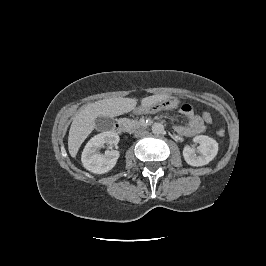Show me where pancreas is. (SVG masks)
Here are the masks:
<instances>
[{"label": "pancreas", "mask_w": 266, "mask_h": 266, "mask_svg": "<svg viewBox=\"0 0 266 266\" xmlns=\"http://www.w3.org/2000/svg\"><path fill=\"white\" fill-rule=\"evenodd\" d=\"M137 123H138V122H137L136 120H133V121H132L133 126L137 125Z\"/></svg>", "instance_id": "obj_1"}]
</instances>
